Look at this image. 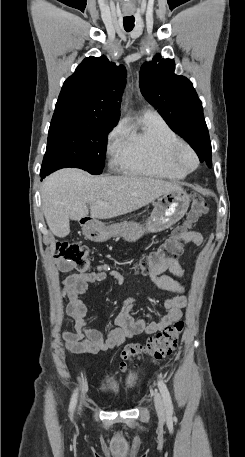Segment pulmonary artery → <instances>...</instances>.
<instances>
[{"mask_svg":"<svg viewBox=\"0 0 245 457\" xmlns=\"http://www.w3.org/2000/svg\"><path fill=\"white\" fill-rule=\"evenodd\" d=\"M144 115H158L153 108H145L143 110Z\"/></svg>","mask_w":245,"mask_h":457,"instance_id":"pulmonary-artery-1","label":"pulmonary artery"}]
</instances>
